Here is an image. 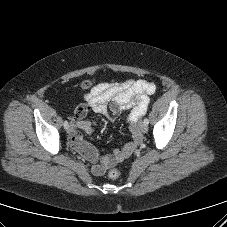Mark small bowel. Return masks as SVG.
Wrapping results in <instances>:
<instances>
[{
  "mask_svg": "<svg viewBox=\"0 0 227 227\" xmlns=\"http://www.w3.org/2000/svg\"><path fill=\"white\" fill-rule=\"evenodd\" d=\"M155 85L146 80H126L119 83L104 82L94 86L84 97V103L76 109V127L69 135V145L93 162L91 171L100 176L114 164L128 158L141 141L137 123L146 113L149 95L155 92ZM89 110L97 113L118 116L128 111L127 120L132 141L111 154L98 157L94 147L83 140L79 130L90 135L94 132V123L84 120Z\"/></svg>",
  "mask_w": 227,
  "mask_h": 227,
  "instance_id": "c3829d8e",
  "label": "small bowel"
}]
</instances>
